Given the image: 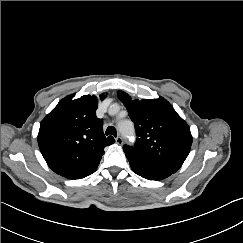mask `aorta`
I'll list each match as a JSON object with an SVG mask.
<instances>
[{
  "label": "aorta",
  "instance_id": "762f6f07",
  "mask_svg": "<svg viewBox=\"0 0 243 243\" xmlns=\"http://www.w3.org/2000/svg\"><path fill=\"white\" fill-rule=\"evenodd\" d=\"M132 127H130V129H129V131H126L125 129H123L122 127H121V132L124 134V135H128L129 133H131L132 132Z\"/></svg>",
  "mask_w": 243,
  "mask_h": 243
}]
</instances>
